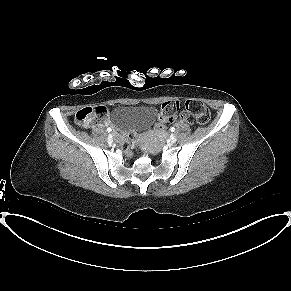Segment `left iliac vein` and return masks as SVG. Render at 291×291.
Here are the masks:
<instances>
[{
	"label": "left iliac vein",
	"instance_id": "obj_1",
	"mask_svg": "<svg viewBox=\"0 0 291 291\" xmlns=\"http://www.w3.org/2000/svg\"><path fill=\"white\" fill-rule=\"evenodd\" d=\"M177 141V138L174 134L170 136V143L174 144Z\"/></svg>",
	"mask_w": 291,
	"mask_h": 291
}]
</instances>
